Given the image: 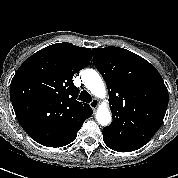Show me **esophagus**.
Instances as JSON below:
<instances>
[{
  "instance_id": "1",
  "label": "esophagus",
  "mask_w": 178,
  "mask_h": 178,
  "mask_svg": "<svg viewBox=\"0 0 178 178\" xmlns=\"http://www.w3.org/2000/svg\"><path fill=\"white\" fill-rule=\"evenodd\" d=\"M90 106L93 110H96L99 106V101L97 99H93L92 102L90 103Z\"/></svg>"
}]
</instances>
